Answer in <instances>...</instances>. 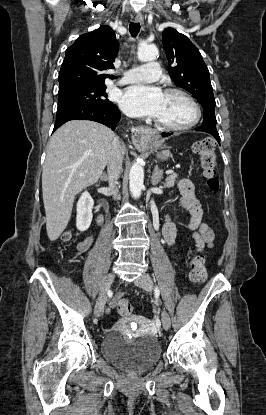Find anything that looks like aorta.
Returning a JSON list of instances; mask_svg holds the SVG:
<instances>
[{"label": "aorta", "mask_w": 266, "mask_h": 415, "mask_svg": "<svg viewBox=\"0 0 266 415\" xmlns=\"http://www.w3.org/2000/svg\"><path fill=\"white\" fill-rule=\"evenodd\" d=\"M140 61H152L158 56V50L150 44H141L138 47ZM144 169L140 163H134L129 172V188L134 198H139L144 187Z\"/></svg>", "instance_id": "aorta-1"}]
</instances>
